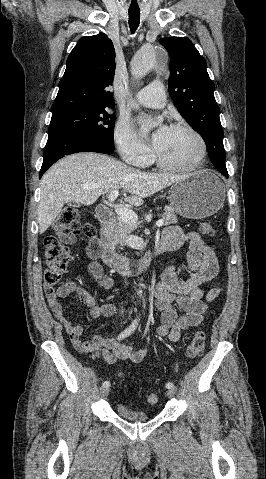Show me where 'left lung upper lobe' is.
<instances>
[{"instance_id": "left-lung-upper-lobe-1", "label": "left lung upper lobe", "mask_w": 266, "mask_h": 479, "mask_svg": "<svg viewBox=\"0 0 266 479\" xmlns=\"http://www.w3.org/2000/svg\"><path fill=\"white\" fill-rule=\"evenodd\" d=\"M170 55L168 89L179 113L204 139L213 165L225 170L223 130L215 85L206 70V61L186 37L161 38Z\"/></svg>"}]
</instances>
